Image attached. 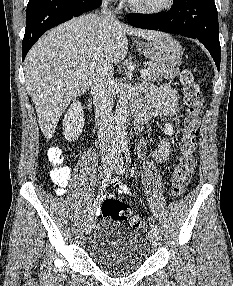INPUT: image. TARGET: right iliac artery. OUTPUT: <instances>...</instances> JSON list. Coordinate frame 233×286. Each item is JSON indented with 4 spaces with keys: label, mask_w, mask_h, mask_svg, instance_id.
<instances>
[{
    "label": "right iliac artery",
    "mask_w": 233,
    "mask_h": 286,
    "mask_svg": "<svg viewBox=\"0 0 233 286\" xmlns=\"http://www.w3.org/2000/svg\"><path fill=\"white\" fill-rule=\"evenodd\" d=\"M120 154H121V148H120V147H117L115 160H114V162H113L114 164H113L112 167H111V171L107 172V173L105 174V176L103 177L102 186H101V187H102V190H104V189L107 187V185H108V183H109V181H110V179H111V177H112V175H113V169L115 168L116 164H117L118 161H119ZM101 192H102V191H101ZM95 208H96V201H95V202L89 207V209H88L87 217H86L87 221H89L90 219H92V216H93V214H94Z\"/></svg>",
    "instance_id": "1"
}]
</instances>
